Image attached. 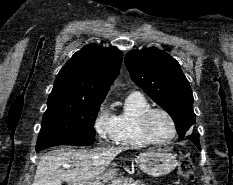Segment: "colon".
Returning a JSON list of instances; mask_svg holds the SVG:
<instances>
[{"mask_svg": "<svg viewBox=\"0 0 233 185\" xmlns=\"http://www.w3.org/2000/svg\"><path fill=\"white\" fill-rule=\"evenodd\" d=\"M177 170L179 176L184 179H189L192 177L194 168L191 156L189 154H185L180 157Z\"/></svg>", "mask_w": 233, "mask_h": 185, "instance_id": "colon-1", "label": "colon"}]
</instances>
